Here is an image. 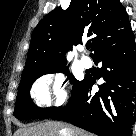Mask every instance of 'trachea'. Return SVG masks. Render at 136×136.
<instances>
[{"label":"trachea","mask_w":136,"mask_h":136,"mask_svg":"<svg viewBox=\"0 0 136 136\" xmlns=\"http://www.w3.org/2000/svg\"><path fill=\"white\" fill-rule=\"evenodd\" d=\"M90 47H91V45H90V44L86 45V48H87V49H90Z\"/></svg>","instance_id":"obj_1"}]
</instances>
